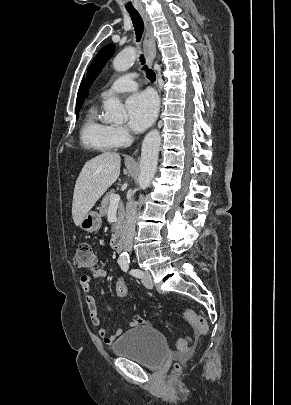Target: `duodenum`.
<instances>
[{
	"mask_svg": "<svg viewBox=\"0 0 291 405\" xmlns=\"http://www.w3.org/2000/svg\"><path fill=\"white\" fill-rule=\"evenodd\" d=\"M110 245L115 251H120L122 248V232L120 230L116 231L113 235Z\"/></svg>",
	"mask_w": 291,
	"mask_h": 405,
	"instance_id": "duodenum-1",
	"label": "duodenum"
}]
</instances>
